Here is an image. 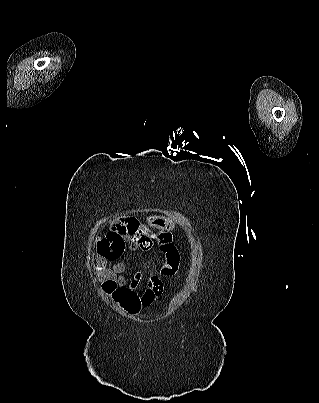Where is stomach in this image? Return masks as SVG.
<instances>
[{"label": "stomach", "mask_w": 319, "mask_h": 403, "mask_svg": "<svg viewBox=\"0 0 319 403\" xmlns=\"http://www.w3.org/2000/svg\"><path fill=\"white\" fill-rule=\"evenodd\" d=\"M148 223L159 230L170 231L174 228V219L171 216H151Z\"/></svg>", "instance_id": "obj_1"}]
</instances>
